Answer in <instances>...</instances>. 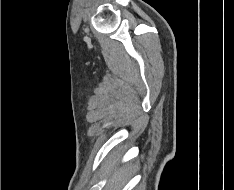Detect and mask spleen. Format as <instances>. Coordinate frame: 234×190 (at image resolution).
Returning a JSON list of instances; mask_svg holds the SVG:
<instances>
[{"label": "spleen", "mask_w": 234, "mask_h": 190, "mask_svg": "<svg viewBox=\"0 0 234 190\" xmlns=\"http://www.w3.org/2000/svg\"><path fill=\"white\" fill-rule=\"evenodd\" d=\"M127 173V169H121L120 171L116 172L110 180L109 185L107 186L106 190H120V188L125 184V176Z\"/></svg>", "instance_id": "spleen-1"}]
</instances>
